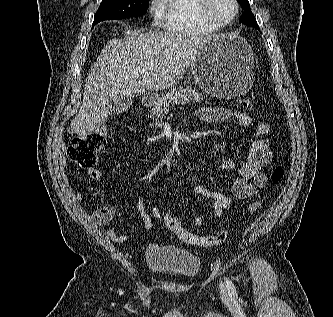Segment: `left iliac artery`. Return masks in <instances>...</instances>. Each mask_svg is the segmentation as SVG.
I'll return each mask as SVG.
<instances>
[{
    "label": "left iliac artery",
    "mask_w": 333,
    "mask_h": 317,
    "mask_svg": "<svg viewBox=\"0 0 333 317\" xmlns=\"http://www.w3.org/2000/svg\"><path fill=\"white\" fill-rule=\"evenodd\" d=\"M225 283H226V286H227V288H228L229 293H230L231 295L236 294V289H235V287H234L232 281L229 280L228 278H225Z\"/></svg>",
    "instance_id": "obj_1"
}]
</instances>
